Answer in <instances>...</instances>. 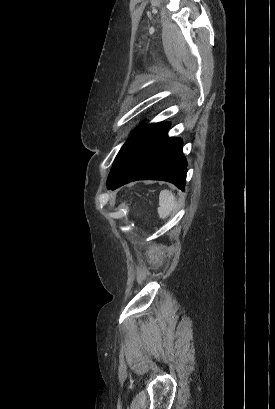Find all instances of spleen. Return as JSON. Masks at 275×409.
Returning <instances> with one entry per match:
<instances>
[{
    "label": "spleen",
    "mask_w": 275,
    "mask_h": 409,
    "mask_svg": "<svg viewBox=\"0 0 275 409\" xmlns=\"http://www.w3.org/2000/svg\"><path fill=\"white\" fill-rule=\"evenodd\" d=\"M175 209H177L176 196H174L171 190H161L158 207V215L160 219H167Z\"/></svg>",
    "instance_id": "1"
}]
</instances>
